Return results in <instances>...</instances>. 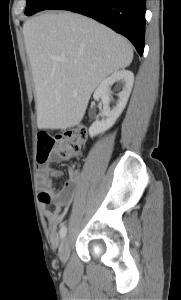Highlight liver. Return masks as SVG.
Wrapping results in <instances>:
<instances>
[{
	"label": "liver",
	"mask_w": 181,
	"mask_h": 300,
	"mask_svg": "<svg viewBox=\"0 0 181 300\" xmlns=\"http://www.w3.org/2000/svg\"><path fill=\"white\" fill-rule=\"evenodd\" d=\"M37 96L39 129L81 122L95 88L128 67L130 42L110 28L72 12H46L23 25Z\"/></svg>",
	"instance_id": "6515ba94"
}]
</instances>
